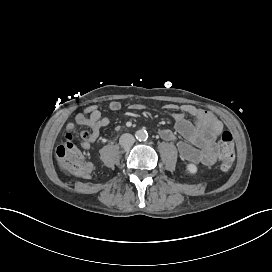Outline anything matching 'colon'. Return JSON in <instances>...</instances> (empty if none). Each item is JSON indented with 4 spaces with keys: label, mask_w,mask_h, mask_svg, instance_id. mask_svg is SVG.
<instances>
[{
    "label": "colon",
    "mask_w": 272,
    "mask_h": 272,
    "mask_svg": "<svg viewBox=\"0 0 272 272\" xmlns=\"http://www.w3.org/2000/svg\"><path fill=\"white\" fill-rule=\"evenodd\" d=\"M56 156L58 165L65 167L68 172L88 175L91 172V165L83 160L78 149H75L74 137L71 132L64 135V142L57 146ZM213 157L220 159V167L223 171L231 168L235 158V147L233 136L230 132H223L220 136V143L213 151Z\"/></svg>",
    "instance_id": "obj_1"
}]
</instances>
